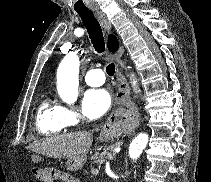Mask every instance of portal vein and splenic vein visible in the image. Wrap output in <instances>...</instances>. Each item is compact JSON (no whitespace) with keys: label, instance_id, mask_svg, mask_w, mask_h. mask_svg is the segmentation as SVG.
Instances as JSON below:
<instances>
[{"label":"portal vein and splenic vein","instance_id":"1","mask_svg":"<svg viewBox=\"0 0 211 182\" xmlns=\"http://www.w3.org/2000/svg\"><path fill=\"white\" fill-rule=\"evenodd\" d=\"M119 151H120V148H116V149H115V152H119ZM91 171H92L93 174H96V173L99 172L98 169H92Z\"/></svg>","mask_w":211,"mask_h":182}]
</instances>
